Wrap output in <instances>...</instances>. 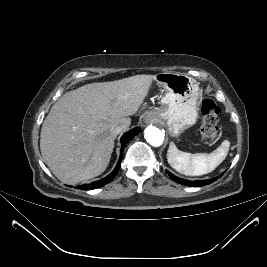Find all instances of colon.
Here are the masks:
<instances>
[{"instance_id":"1","label":"colon","mask_w":267,"mask_h":267,"mask_svg":"<svg viewBox=\"0 0 267 267\" xmlns=\"http://www.w3.org/2000/svg\"><path fill=\"white\" fill-rule=\"evenodd\" d=\"M220 109L211 99H205L201 105L203 122L200 127L202 140L206 143L214 142L219 135L218 116Z\"/></svg>"}]
</instances>
